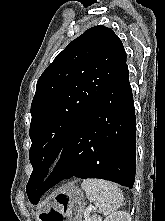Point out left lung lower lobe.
Masks as SVG:
<instances>
[{
	"mask_svg": "<svg viewBox=\"0 0 165 221\" xmlns=\"http://www.w3.org/2000/svg\"><path fill=\"white\" fill-rule=\"evenodd\" d=\"M135 108L127 64L77 124L61 159L32 204L67 178H100L132 189L135 181Z\"/></svg>",
	"mask_w": 165,
	"mask_h": 221,
	"instance_id": "left-lung-lower-lobe-1",
	"label": "left lung lower lobe"
}]
</instances>
